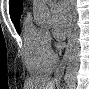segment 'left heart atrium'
Segmentation results:
<instances>
[{
    "instance_id": "left-heart-atrium-1",
    "label": "left heart atrium",
    "mask_w": 89,
    "mask_h": 89,
    "mask_svg": "<svg viewBox=\"0 0 89 89\" xmlns=\"http://www.w3.org/2000/svg\"><path fill=\"white\" fill-rule=\"evenodd\" d=\"M51 15L53 22V35L57 40H62L65 37L67 33V28L69 26V19L67 13L63 6L56 5L52 8Z\"/></svg>"
}]
</instances>
